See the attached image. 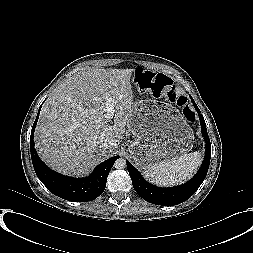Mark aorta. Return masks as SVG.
Here are the masks:
<instances>
[{"label":"aorta","instance_id":"aorta-1","mask_svg":"<svg viewBox=\"0 0 253 253\" xmlns=\"http://www.w3.org/2000/svg\"><path fill=\"white\" fill-rule=\"evenodd\" d=\"M127 166V162L124 158H118L115 163H114V167L118 170H122L125 169Z\"/></svg>","mask_w":253,"mask_h":253}]
</instances>
